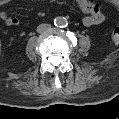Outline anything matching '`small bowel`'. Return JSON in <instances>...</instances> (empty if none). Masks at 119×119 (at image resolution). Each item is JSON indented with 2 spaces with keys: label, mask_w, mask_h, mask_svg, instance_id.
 Here are the masks:
<instances>
[{
  "label": "small bowel",
  "mask_w": 119,
  "mask_h": 119,
  "mask_svg": "<svg viewBox=\"0 0 119 119\" xmlns=\"http://www.w3.org/2000/svg\"><path fill=\"white\" fill-rule=\"evenodd\" d=\"M78 5L83 12L87 13L83 18V24L85 26L91 27L105 21L106 17L98 3L89 0H79ZM0 18L7 25H18L20 23V20L17 17L11 16L6 12H1Z\"/></svg>",
  "instance_id": "small-bowel-1"
}]
</instances>
